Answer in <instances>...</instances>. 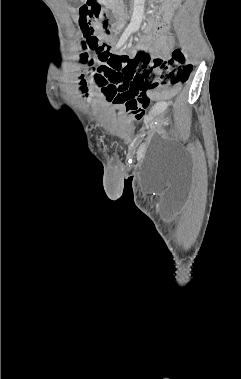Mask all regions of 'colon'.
Wrapping results in <instances>:
<instances>
[{
	"mask_svg": "<svg viewBox=\"0 0 241 379\" xmlns=\"http://www.w3.org/2000/svg\"><path fill=\"white\" fill-rule=\"evenodd\" d=\"M79 16L86 45L100 62L94 81L108 98H111L116 90L137 89L139 83H150L156 87L176 86L187 80L191 65L185 64L181 49H175L168 59L152 58L141 47L133 49L131 53L113 52L107 43L108 31L98 25L103 16L102 0H86L79 8ZM82 60L83 63L93 62L88 56H83ZM86 83L82 78V90L87 89Z\"/></svg>",
	"mask_w": 241,
	"mask_h": 379,
	"instance_id": "colon-1",
	"label": "colon"
}]
</instances>
